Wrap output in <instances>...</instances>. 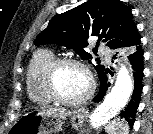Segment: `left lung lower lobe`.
<instances>
[{"mask_svg": "<svg viewBox=\"0 0 153 134\" xmlns=\"http://www.w3.org/2000/svg\"><path fill=\"white\" fill-rule=\"evenodd\" d=\"M141 41L134 48L132 54L128 57L129 61L132 65L133 76H134V90L132 94V99L125 108V110L120 114L122 118H125L129 125L132 127L134 124V118L139 106V102L141 99V93L143 88V51L141 49ZM107 73L108 70H104V72L99 77L100 79V91L97 96L93 99L95 102H100L106 94L110 83L107 82Z\"/></svg>", "mask_w": 153, "mask_h": 134, "instance_id": "0a47b994", "label": "left lung lower lobe"}]
</instances>
